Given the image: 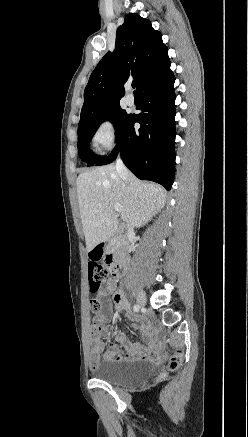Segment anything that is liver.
Returning <instances> with one entry per match:
<instances>
[{
  "label": "liver",
  "instance_id": "obj_1",
  "mask_svg": "<svg viewBox=\"0 0 248 437\" xmlns=\"http://www.w3.org/2000/svg\"><path fill=\"white\" fill-rule=\"evenodd\" d=\"M77 197L88 251L111 238L118 227L115 205L129 227L147 224L166 202L165 190L130 174L121 178L114 165L94 168L77 178Z\"/></svg>",
  "mask_w": 248,
  "mask_h": 437
}]
</instances>
